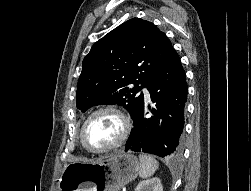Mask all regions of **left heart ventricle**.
<instances>
[{
  "mask_svg": "<svg viewBox=\"0 0 251 191\" xmlns=\"http://www.w3.org/2000/svg\"><path fill=\"white\" fill-rule=\"evenodd\" d=\"M121 133V123L111 112L94 115L83 132L85 146L92 151H102L116 142Z\"/></svg>",
  "mask_w": 251,
  "mask_h": 191,
  "instance_id": "obj_1",
  "label": "left heart ventricle"
}]
</instances>
